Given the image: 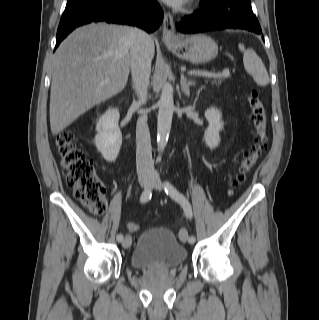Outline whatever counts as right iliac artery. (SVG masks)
<instances>
[{
	"label": "right iliac artery",
	"mask_w": 319,
	"mask_h": 320,
	"mask_svg": "<svg viewBox=\"0 0 319 320\" xmlns=\"http://www.w3.org/2000/svg\"><path fill=\"white\" fill-rule=\"evenodd\" d=\"M152 191L151 188H145V190L142 192L140 196V202L145 203L151 199ZM117 241L121 242L123 241V234H118L117 235Z\"/></svg>",
	"instance_id": "obj_1"
}]
</instances>
